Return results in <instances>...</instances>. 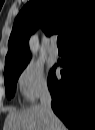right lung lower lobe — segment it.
I'll use <instances>...</instances> for the list:
<instances>
[{"mask_svg":"<svg viewBox=\"0 0 95 130\" xmlns=\"http://www.w3.org/2000/svg\"><path fill=\"white\" fill-rule=\"evenodd\" d=\"M61 78L48 77L52 109L71 130L93 129L95 122V28L64 44Z\"/></svg>","mask_w":95,"mask_h":130,"instance_id":"right-lung-lower-lobe-1","label":"right lung lower lobe"}]
</instances>
